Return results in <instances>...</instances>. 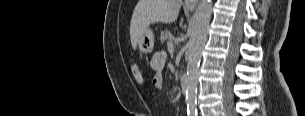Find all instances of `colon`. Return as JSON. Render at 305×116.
I'll return each instance as SVG.
<instances>
[{"mask_svg":"<svg viewBox=\"0 0 305 116\" xmlns=\"http://www.w3.org/2000/svg\"><path fill=\"white\" fill-rule=\"evenodd\" d=\"M131 73H132V76L137 83H139V84L144 83L143 74H142L141 70L136 65L131 66Z\"/></svg>","mask_w":305,"mask_h":116,"instance_id":"5ec220e1","label":"colon"}]
</instances>
